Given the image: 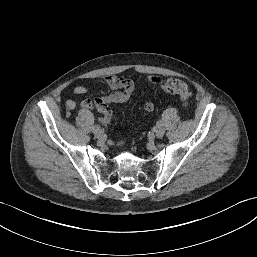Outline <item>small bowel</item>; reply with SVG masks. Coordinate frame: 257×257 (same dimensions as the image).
Instances as JSON below:
<instances>
[{
    "instance_id": "c3829d8e",
    "label": "small bowel",
    "mask_w": 257,
    "mask_h": 257,
    "mask_svg": "<svg viewBox=\"0 0 257 257\" xmlns=\"http://www.w3.org/2000/svg\"><path fill=\"white\" fill-rule=\"evenodd\" d=\"M106 84L110 87L112 92L101 98H88L81 102L80 106L84 109H96L101 113L100 122L103 124L108 123L112 117V110L110 104L112 103H124L131 97L135 82L131 79L120 78L116 75H108L105 79ZM144 84L155 86L161 83L160 77L156 75H150L141 80ZM88 87L85 85H76L74 87V93L82 95L88 92ZM66 107L69 110H73L76 107V101L69 99L66 101ZM144 114H150L154 111V105L150 102L145 103Z\"/></svg>"
}]
</instances>
